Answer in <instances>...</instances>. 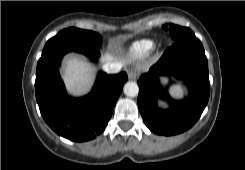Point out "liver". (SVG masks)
<instances>
[{
  "label": "liver",
  "instance_id": "6515ba94",
  "mask_svg": "<svg viewBox=\"0 0 245 170\" xmlns=\"http://www.w3.org/2000/svg\"><path fill=\"white\" fill-rule=\"evenodd\" d=\"M115 57L109 53L104 54L102 61L112 63ZM122 65V64H121ZM93 68L85 59L78 56H68L63 69V80L67 90L75 95L83 94L90 88L94 76Z\"/></svg>",
  "mask_w": 245,
  "mask_h": 170
}]
</instances>
